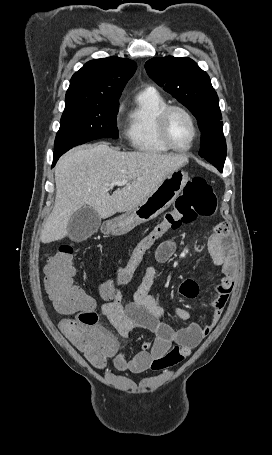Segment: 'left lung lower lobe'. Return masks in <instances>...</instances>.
Here are the masks:
<instances>
[{
	"label": "left lung lower lobe",
	"instance_id": "1",
	"mask_svg": "<svg viewBox=\"0 0 272 455\" xmlns=\"http://www.w3.org/2000/svg\"><path fill=\"white\" fill-rule=\"evenodd\" d=\"M226 156H218L207 159L212 165H214L220 172H222Z\"/></svg>",
	"mask_w": 272,
	"mask_h": 455
}]
</instances>
